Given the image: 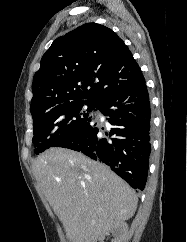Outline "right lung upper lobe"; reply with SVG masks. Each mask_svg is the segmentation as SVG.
<instances>
[{
  "mask_svg": "<svg viewBox=\"0 0 187 242\" xmlns=\"http://www.w3.org/2000/svg\"><path fill=\"white\" fill-rule=\"evenodd\" d=\"M145 82L131 51L111 29L84 24L54 40L32 83V117L72 103L97 104Z\"/></svg>",
  "mask_w": 187,
  "mask_h": 242,
  "instance_id": "right-lung-upper-lobe-1",
  "label": "right lung upper lobe"
}]
</instances>
